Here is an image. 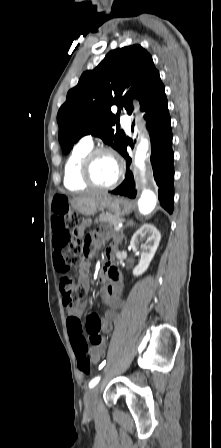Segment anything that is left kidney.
I'll return each mask as SVG.
<instances>
[{
    "label": "left kidney",
    "mask_w": 221,
    "mask_h": 448,
    "mask_svg": "<svg viewBox=\"0 0 221 448\" xmlns=\"http://www.w3.org/2000/svg\"><path fill=\"white\" fill-rule=\"evenodd\" d=\"M160 239V232L151 224L141 226L134 233L130 241V246L134 251H137L139 248L142 250L139 263L133 269L134 276H140L148 269L159 246ZM143 241L144 243H142Z\"/></svg>",
    "instance_id": "obj_1"
}]
</instances>
